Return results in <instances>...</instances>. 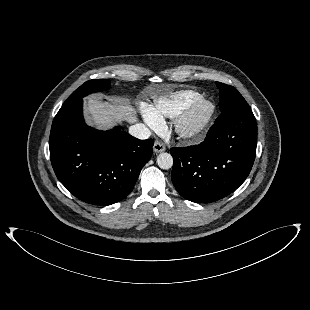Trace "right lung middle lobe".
Segmentation results:
<instances>
[{
	"mask_svg": "<svg viewBox=\"0 0 310 310\" xmlns=\"http://www.w3.org/2000/svg\"><path fill=\"white\" fill-rule=\"evenodd\" d=\"M110 85L109 80L105 79H99V80H89L85 82L83 85H81L77 90H75L69 98L65 101V103L74 101L79 98H83L86 95L97 92V91H102L105 89H108Z\"/></svg>",
	"mask_w": 310,
	"mask_h": 310,
	"instance_id": "obj_1",
	"label": "right lung middle lobe"
}]
</instances>
